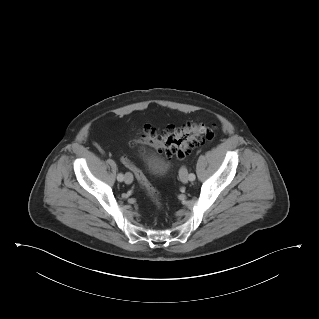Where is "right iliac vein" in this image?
<instances>
[{"label": "right iliac vein", "mask_w": 319, "mask_h": 319, "mask_svg": "<svg viewBox=\"0 0 319 319\" xmlns=\"http://www.w3.org/2000/svg\"><path fill=\"white\" fill-rule=\"evenodd\" d=\"M125 183L126 184H131L133 182V176L131 173H126L124 177Z\"/></svg>", "instance_id": "63e3f726"}]
</instances>
